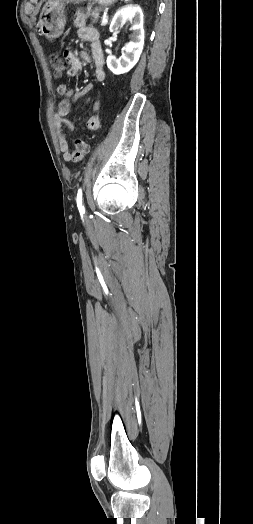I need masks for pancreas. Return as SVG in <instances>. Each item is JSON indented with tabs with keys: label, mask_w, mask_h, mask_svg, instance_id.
<instances>
[{
	"label": "pancreas",
	"mask_w": 253,
	"mask_h": 524,
	"mask_svg": "<svg viewBox=\"0 0 253 524\" xmlns=\"http://www.w3.org/2000/svg\"><path fill=\"white\" fill-rule=\"evenodd\" d=\"M101 11H102V9L100 7H95V8L92 9V6H88L87 7V12L84 15V17L87 18V17L90 16L92 18V22L96 23L98 21L99 17H100V12ZM81 15H83L82 11L81 10L77 11L76 16L79 17Z\"/></svg>",
	"instance_id": "1"
}]
</instances>
